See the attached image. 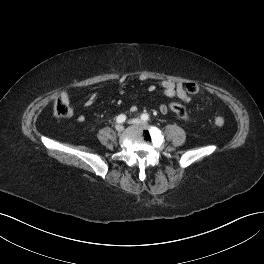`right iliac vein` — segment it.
Segmentation results:
<instances>
[{"instance_id":"63e3f726","label":"right iliac vein","mask_w":264,"mask_h":264,"mask_svg":"<svg viewBox=\"0 0 264 264\" xmlns=\"http://www.w3.org/2000/svg\"><path fill=\"white\" fill-rule=\"evenodd\" d=\"M115 129H116V131H118V132H122V131L124 130V127H123V125H121V124H117L116 127H115Z\"/></svg>"}]
</instances>
